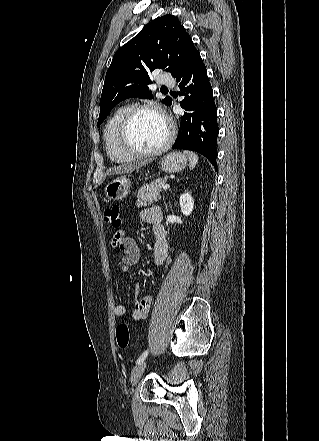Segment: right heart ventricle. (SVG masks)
I'll list each match as a JSON object with an SVG mask.
<instances>
[{
    "label": "right heart ventricle",
    "mask_w": 319,
    "mask_h": 441,
    "mask_svg": "<svg viewBox=\"0 0 319 441\" xmlns=\"http://www.w3.org/2000/svg\"><path fill=\"white\" fill-rule=\"evenodd\" d=\"M129 108L130 106L126 104L118 106L110 115L104 128V142L107 155L112 161L118 163L127 162L132 159L131 156L120 149L117 142L119 124Z\"/></svg>",
    "instance_id": "obj_1"
}]
</instances>
